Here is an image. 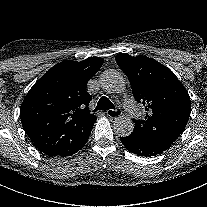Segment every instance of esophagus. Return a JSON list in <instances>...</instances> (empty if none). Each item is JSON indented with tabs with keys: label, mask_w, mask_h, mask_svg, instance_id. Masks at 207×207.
Returning <instances> with one entry per match:
<instances>
[{
	"label": "esophagus",
	"mask_w": 207,
	"mask_h": 207,
	"mask_svg": "<svg viewBox=\"0 0 207 207\" xmlns=\"http://www.w3.org/2000/svg\"><path fill=\"white\" fill-rule=\"evenodd\" d=\"M106 114L110 118L115 119L121 116L122 111L120 109H109L108 111H106Z\"/></svg>",
	"instance_id": "1"
}]
</instances>
